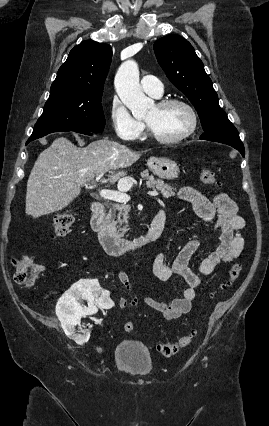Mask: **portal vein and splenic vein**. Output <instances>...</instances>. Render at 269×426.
Returning <instances> with one entry per match:
<instances>
[{
	"instance_id": "portal-vein-and-splenic-vein-1",
	"label": "portal vein and splenic vein",
	"mask_w": 269,
	"mask_h": 426,
	"mask_svg": "<svg viewBox=\"0 0 269 426\" xmlns=\"http://www.w3.org/2000/svg\"><path fill=\"white\" fill-rule=\"evenodd\" d=\"M103 174H100L96 177L95 181L98 182L102 178ZM127 188L120 187L119 191H113V190H107V189H101L99 194L102 198L106 200H112L119 203H126L130 200V196L126 194ZM150 196H157L158 193L155 191L148 192Z\"/></svg>"
}]
</instances>
